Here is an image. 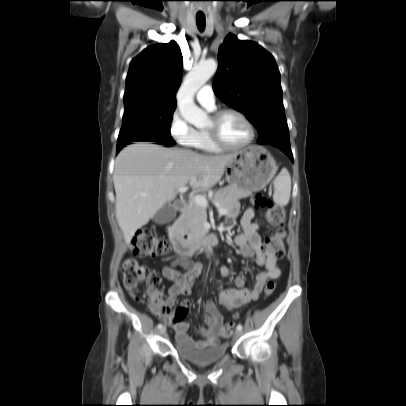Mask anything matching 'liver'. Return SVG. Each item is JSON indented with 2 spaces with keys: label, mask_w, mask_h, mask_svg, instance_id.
I'll return each instance as SVG.
<instances>
[{
  "label": "liver",
  "mask_w": 406,
  "mask_h": 406,
  "mask_svg": "<svg viewBox=\"0 0 406 406\" xmlns=\"http://www.w3.org/2000/svg\"><path fill=\"white\" fill-rule=\"evenodd\" d=\"M235 154L201 155L186 149L139 142L124 148L115 160L113 182L116 219L126 244L135 232L175 197V189L214 186Z\"/></svg>",
  "instance_id": "6515ba94"
}]
</instances>
